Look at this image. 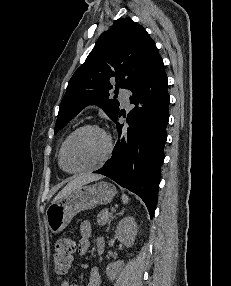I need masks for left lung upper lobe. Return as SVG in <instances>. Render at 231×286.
Masks as SVG:
<instances>
[{
    "label": "left lung upper lobe",
    "mask_w": 231,
    "mask_h": 286,
    "mask_svg": "<svg viewBox=\"0 0 231 286\" xmlns=\"http://www.w3.org/2000/svg\"><path fill=\"white\" fill-rule=\"evenodd\" d=\"M160 58L154 41L142 26L129 17L116 20L101 34L85 63L70 79L54 133L94 102L114 120L119 101L109 99L108 91L113 88L109 80L116 79V90L128 89Z\"/></svg>",
    "instance_id": "1"
}]
</instances>
